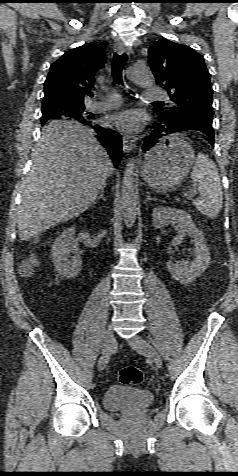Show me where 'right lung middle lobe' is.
<instances>
[{"label":"right lung middle lobe","instance_id":"obj_1","mask_svg":"<svg viewBox=\"0 0 238 476\" xmlns=\"http://www.w3.org/2000/svg\"><path fill=\"white\" fill-rule=\"evenodd\" d=\"M69 118L78 121L93 120L94 115L85 110L84 105H72L54 101H43L42 124L48 120Z\"/></svg>","mask_w":238,"mask_h":476}]
</instances>
